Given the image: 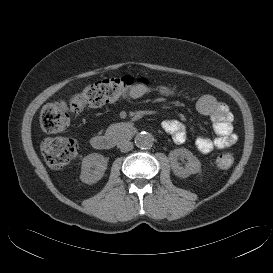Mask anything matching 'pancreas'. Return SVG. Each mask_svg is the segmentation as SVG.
Here are the masks:
<instances>
[{"instance_id": "1", "label": "pancreas", "mask_w": 273, "mask_h": 273, "mask_svg": "<svg viewBox=\"0 0 273 273\" xmlns=\"http://www.w3.org/2000/svg\"><path fill=\"white\" fill-rule=\"evenodd\" d=\"M118 128H119V125H118V124H112V125H110V126L108 127V129H107L106 132H107V133H113V132L117 131Z\"/></svg>"}]
</instances>
